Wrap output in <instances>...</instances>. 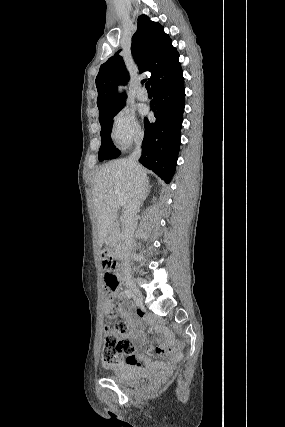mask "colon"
Here are the masks:
<instances>
[{
	"instance_id": "colon-1",
	"label": "colon",
	"mask_w": 285,
	"mask_h": 427,
	"mask_svg": "<svg viewBox=\"0 0 285 427\" xmlns=\"http://www.w3.org/2000/svg\"><path fill=\"white\" fill-rule=\"evenodd\" d=\"M101 266L104 271V283L107 292L105 299L107 329L101 351V362L104 367L113 368L122 357L130 356L134 347L132 342L124 336L125 324L118 319L122 299L117 292L119 279L116 263L111 256L103 254ZM138 314L142 315L141 311H138ZM155 353L157 355H168V351L161 346L156 347Z\"/></svg>"
}]
</instances>
